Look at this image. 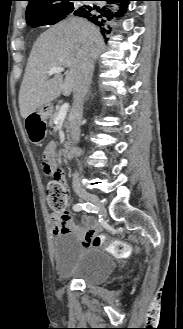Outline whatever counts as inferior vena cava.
<instances>
[{
    "label": "inferior vena cava",
    "instance_id": "obj_1",
    "mask_svg": "<svg viewBox=\"0 0 183 329\" xmlns=\"http://www.w3.org/2000/svg\"><path fill=\"white\" fill-rule=\"evenodd\" d=\"M93 71V60L89 56H84L81 62L79 85L75 90L74 105L70 114V134L74 143L79 142L83 103L92 82ZM73 184L74 186L79 185L78 172L73 174Z\"/></svg>",
    "mask_w": 183,
    "mask_h": 329
}]
</instances>
